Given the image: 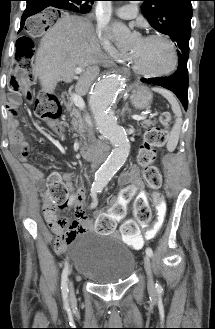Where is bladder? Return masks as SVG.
<instances>
[{
	"label": "bladder",
	"mask_w": 215,
	"mask_h": 329,
	"mask_svg": "<svg viewBox=\"0 0 215 329\" xmlns=\"http://www.w3.org/2000/svg\"><path fill=\"white\" fill-rule=\"evenodd\" d=\"M70 256L80 277L95 284H114L128 279L135 257L118 237L99 232L80 233L69 245Z\"/></svg>",
	"instance_id": "obj_1"
}]
</instances>
